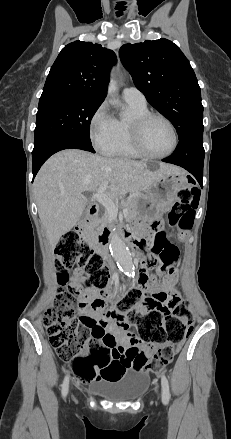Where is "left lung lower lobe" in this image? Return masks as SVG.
I'll use <instances>...</instances> for the list:
<instances>
[{
    "mask_svg": "<svg viewBox=\"0 0 231 439\" xmlns=\"http://www.w3.org/2000/svg\"><path fill=\"white\" fill-rule=\"evenodd\" d=\"M204 155L203 127H200L188 130L179 139L174 153L162 161L185 168L202 186Z\"/></svg>",
    "mask_w": 231,
    "mask_h": 439,
    "instance_id": "0a47b994",
    "label": "left lung lower lobe"
}]
</instances>
